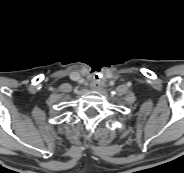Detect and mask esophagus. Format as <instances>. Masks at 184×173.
<instances>
[{
	"mask_svg": "<svg viewBox=\"0 0 184 173\" xmlns=\"http://www.w3.org/2000/svg\"><path fill=\"white\" fill-rule=\"evenodd\" d=\"M90 86H91V88L94 89V90H97V89H99V88L101 87L100 84H99V83H96V82H92V83L90 84Z\"/></svg>",
	"mask_w": 184,
	"mask_h": 173,
	"instance_id": "1",
	"label": "esophagus"
}]
</instances>
